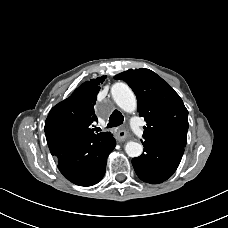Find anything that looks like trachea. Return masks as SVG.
I'll use <instances>...</instances> for the list:
<instances>
[{"instance_id":"3493384b","label":"trachea","mask_w":228,"mask_h":228,"mask_svg":"<svg viewBox=\"0 0 228 228\" xmlns=\"http://www.w3.org/2000/svg\"><path fill=\"white\" fill-rule=\"evenodd\" d=\"M124 122V117L122 113L118 110H114L110 115L109 122L107 124V128H112L116 126H120Z\"/></svg>"}]
</instances>
